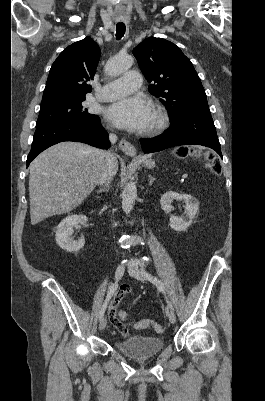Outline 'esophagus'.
<instances>
[{
    "mask_svg": "<svg viewBox=\"0 0 265 401\" xmlns=\"http://www.w3.org/2000/svg\"><path fill=\"white\" fill-rule=\"evenodd\" d=\"M119 148L126 153L128 156H136L137 150L136 148L129 143V141L126 140H120L119 142Z\"/></svg>",
    "mask_w": 265,
    "mask_h": 401,
    "instance_id": "1",
    "label": "esophagus"
}]
</instances>
